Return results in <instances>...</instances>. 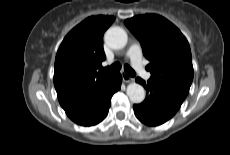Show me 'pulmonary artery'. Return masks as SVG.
<instances>
[{
  "mask_svg": "<svg viewBox=\"0 0 230 155\" xmlns=\"http://www.w3.org/2000/svg\"><path fill=\"white\" fill-rule=\"evenodd\" d=\"M126 57L130 59L132 66L138 74L143 76L145 79L150 78V74L144 69L142 51L139 44H131L126 51Z\"/></svg>",
  "mask_w": 230,
  "mask_h": 155,
  "instance_id": "e3ab8cb5",
  "label": "pulmonary artery"
}]
</instances>
